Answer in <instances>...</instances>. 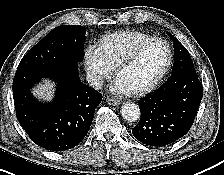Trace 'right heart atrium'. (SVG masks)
Segmentation results:
<instances>
[{
  "mask_svg": "<svg viewBox=\"0 0 224 175\" xmlns=\"http://www.w3.org/2000/svg\"><path fill=\"white\" fill-rule=\"evenodd\" d=\"M85 66L89 79L95 87L102 86L114 71V67L106 60L101 51L92 46L85 51Z\"/></svg>",
  "mask_w": 224,
  "mask_h": 175,
  "instance_id": "obj_1",
  "label": "right heart atrium"
}]
</instances>
